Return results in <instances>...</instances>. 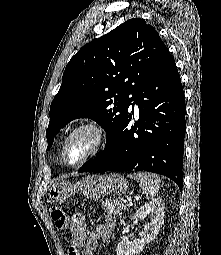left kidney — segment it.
<instances>
[{"label": "left kidney", "instance_id": "1", "mask_svg": "<svg viewBox=\"0 0 221 255\" xmlns=\"http://www.w3.org/2000/svg\"><path fill=\"white\" fill-rule=\"evenodd\" d=\"M164 201L162 198L153 199L151 202L141 206L131 219L143 220L146 217L150 219L145 223L140 238L132 242L121 241L116 248L117 255H135L139 254L145 247L146 243L152 242L159 233L164 221Z\"/></svg>", "mask_w": 221, "mask_h": 255}]
</instances>
